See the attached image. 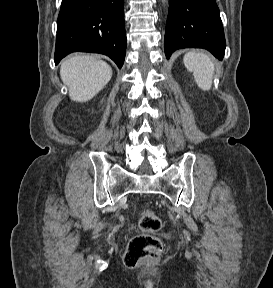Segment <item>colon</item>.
Here are the masks:
<instances>
[{"mask_svg": "<svg viewBox=\"0 0 273 288\" xmlns=\"http://www.w3.org/2000/svg\"><path fill=\"white\" fill-rule=\"evenodd\" d=\"M161 221L156 214L144 209L139 214L138 228L142 233L133 236L123 256L127 267H135L143 259H156L163 250L162 241L152 233L160 229Z\"/></svg>", "mask_w": 273, "mask_h": 288, "instance_id": "colon-1", "label": "colon"}]
</instances>
